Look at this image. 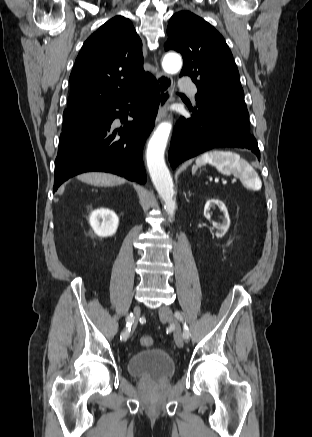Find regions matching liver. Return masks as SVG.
I'll use <instances>...</instances> for the list:
<instances>
[{
  "label": "liver",
  "mask_w": 312,
  "mask_h": 437,
  "mask_svg": "<svg viewBox=\"0 0 312 437\" xmlns=\"http://www.w3.org/2000/svg\"><path fill=\"white\" fill-rule=\"evenodd\" d=\"M78 179L84 183L94 186H114L125 183V179L113 174L102 172H90L78 176Z\"/></svg>",
  "instance_id": "liver-1"
}]
</instances>
